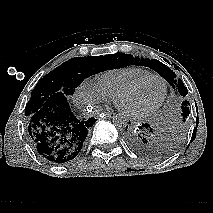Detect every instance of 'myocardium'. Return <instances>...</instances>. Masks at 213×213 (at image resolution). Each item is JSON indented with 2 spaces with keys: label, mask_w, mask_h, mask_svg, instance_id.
Here are the masks:
<instances>
[{
  "label": "myocardium",
  "mask_w": 213,
  "mask_h": 213,
  "mask_svg": "<svg viewBox=\"0 0 213 213\" xmlns=\"http://www.w3.org/2000/svg\"><path fill=\"white\" fill-rule=\"evenodd\" d=\"M152 78L160 80L162 83V86H163V94H162V97L159 100V102L156 103L155 105H153L149 108H146L144 110H141V111H129L126 108H124L123 100L125 98H127L129 95H131L133 92H135L145 81H147L148 79H152ZM166 96H167V84H166L165 79L158 74L150 73L148 75L138 78L137 80H135L134 82L129 84L126 88H124L116 96L115 105L119 109V111H121L127 117L144 118V117L150 116L153 113H155L163 105V103L166 99Z\"/></svg>",
  "instance_id": "obj_1"
}]
</instances>
